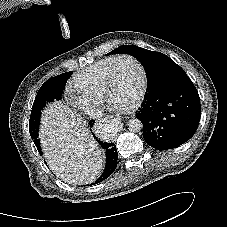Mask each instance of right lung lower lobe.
<instances>
[{
  "label": "right lung lower lobe",
  "instance_id": "98d812e1",
  "mask_svg": "<svg viewBox=\"0 0 227 227\" xmlns=\"http://www.w3.org/2000/svg\"><path fill=\"white\" fill-rule=\"evenodd\" d=\"M95 123V120H91L89 122L90 125H93ZM99 144L101 145V147H103L104 149H106V166H105V170L103 172V174L100 176V178L96 181L97 182H101L103 180H105L107 177H109L114 170L117 167V159H118V153L116 150V146L114 145V143H106V142H102L99 141Z\"/></svg>",
  "mask_w": 227,
  "mask_h": 227
}]
</instances>
